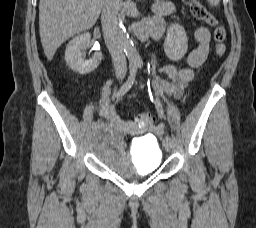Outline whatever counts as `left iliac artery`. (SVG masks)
<instances>
[{
    "instance_id": "44dca946",
    "label": "left iliac artery",
    "mask_w": 256,
    "mask_h": 228,
    "mask_svg": "<svg viewBox=\"0 0 256 228\" xmlns=\"http://www.w3.org/2000/svg\"><path fill=\"white\" fill-rule=\"evenodd\" d=\"M139 67H141V64L139 65ZM152 102H154L159 116L162 117L163 116V108H162L160 101L158 99L154 98ZM166 138L171 140V137L169 135H166Z\"/></svg>"
}]
</instances>
